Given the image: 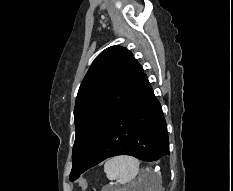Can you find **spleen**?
<instances>
[{
    "mask_svg": "<svg viewBox=\"0 0 233 191\" xmlns=\"http://www.w3.org/2000/svg\"><path fill=\"white\" fill-rule=\"evenodd\" d=\"M139 166V160L132 156H117L104 164V172L109 180L117 179L120 184H127L137 176ZM146 174L152 172L148 170Z\"/></svg>",
    "mask_w": 233,
    "mask_h": 191,
    "instance_id": "spleen-1",
    "label": "spleen"
}]
</instances>
